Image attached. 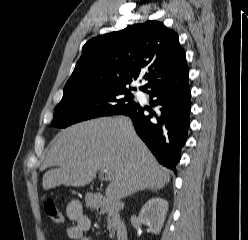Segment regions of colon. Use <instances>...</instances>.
<instances>
[{
    "mask_svg": "<svg viewBox=\"0 0 248 240\" xmlns=\"http://www.w3.org/2000/svg\"><path fill=\"white\" fill-rule=\"evenodd\" d=\"M44 211L48 218L56 225H61L65 221V216L62 210H60L56 204L48 200L44 204Z\"/></svg>",
    "mask_w": 248,
    "mask_h": 240,
    "instance_id": "obj_1",
    "label": "colon"
}]
</instances>
